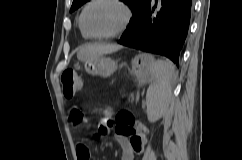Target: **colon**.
<instances>
[{
    "instance_id": "obj_1",
    "label": "colon",
    "mask_w": 242,
    "mask_h": 160,
    "mask_svg": "<svg viewBox=\"0 0 242 160\" xmlns=\"http://www.w3.org/2000/svg\"><path fill=\"white\" fill-rule=\"evenodd\" d=\"M63 93L66 97L71 98L81 88V81L74 69H65L61 75ZM75 119L81 118L80 111H74ZM117 131L121 133H131L136 127V120L131 111H120L116 116Z\"/></svg>"
}]
</instances>
